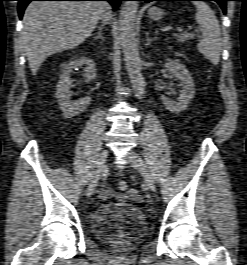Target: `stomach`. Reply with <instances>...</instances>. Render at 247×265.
I'll list each match as a JSON object with an SVG mask.
<instances>
[{
	"mask_svg": "<svg viewBox=\"0 0 247 265\" xmlns=\"http://www.w3.org/2000/svg\"><path fill=\"white\" fill-rule=\"evenodd\" d=\"M164 11L158 7H152L148 10L149 18L153 20H159L164 16Z\"/></svg>",
	"mask_w": 247,
	"mask_h": 265,
	"instance_id": "obj_1",
	"label": "stomach"
}]
</instances>
